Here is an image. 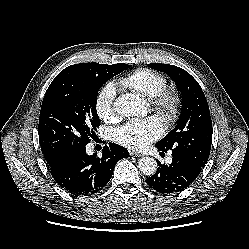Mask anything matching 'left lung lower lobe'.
Segmentation results:
<instances>
[{"label":"left lung lower lobe","mask_w":249,"mask_h":249,"mask_svg":"<svg viewBox=\"0 0 249 249\" xmlns=\"http://www.w3.org/2000/svg\"><path fill=\"white\" fill-rule=\"evenodd\" d=\"M163 152L165 151L161 153ZM158 164L157 172L145 181L149 187L162 194L183 191L192 184L203 168L195 164L190 158L174 152H172L170 165H163L159 161Z\"/></svg>","instance_id":"1"}]
</instances>
